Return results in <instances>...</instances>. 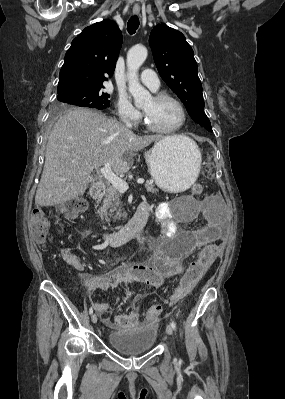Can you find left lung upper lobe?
I'll return each instance as SVG.
<instances>
[{
	"instance_id": "5c2ea615",
	"label": "left lung upper lobe",
	"mask_w": 285,
	"mask_h": 399,
	"mask_svg": "<svg viewBox=\"0 0 285 399\" xmlns=\"http://www.w3.org/2000/svg\"><path fill=\"white\" fill-rule=\"evenodd\" d=\"M149 45L164 82L184 103L191 118L212 132L204 112L202 85L194 52L185 36L166 24H159L150 33Z\"/></svg>"
}]
</instances>
